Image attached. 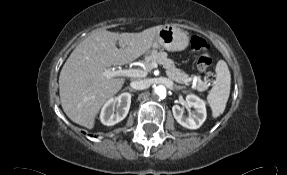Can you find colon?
Returning <instances> with one entry per match:
<instances>
[{
  "mask_svg": "<svg viewBox=\"0 0 287 175\" xmlns=\"http://www.w3.org/2000/svg\"><path fill=\"white\" fill-rule=\"evenodd\" d=\"M190 46L192 50L201 53L197 60V69L205 72L212 63L208 43L202 37L194 35L190 40Z\"/></svg>",
  "mask_w": 287,
  "mask_h": 175,
  "instance_id": "5ec220e1",
  "label": "colon"
}]
</instances>
